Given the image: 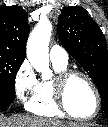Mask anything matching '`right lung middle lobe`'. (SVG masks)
I'll list each match as a JSON object with an SVG mask.
<instances>
[{"instance_id": "right-lung-middle-lobe-1", "label": "right lung middle lobe", "mask_w": 108, "mask_h": 127, "mask_svg": "<svg viewBox=\"0 0 108 127\" xmlns=\"http://www.w3.org/2000/svg\"><path fill=\"white\" fill-rule=\"evenodd\" d=\"M24 59L0 53V92L15 95V77Z\"/></svg>"}]
</instances>
